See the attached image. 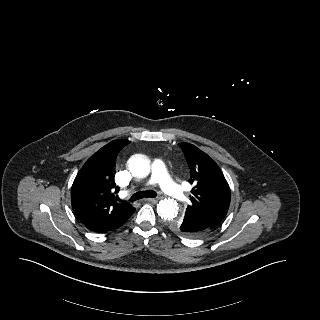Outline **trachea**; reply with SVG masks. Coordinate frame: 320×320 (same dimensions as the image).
I'll list each match as a JSON object with an SVG mask.
<instances>
[{
  "mask_svg": "<svg viewBox=\"0 0 320 320\" xmlns=\"http://www.w3.org/2000/svg\"><path fill=\"white\" fill-rule=\"evenodd\" d=\"M156 196H157V194L155 191L146 190V191H141V192H137V193L133 194L129 200L130 201H137V200H140L143 198H154Z\"/></svg>",
  "mask_w": 320,
  "mask_h": 320,
  "instance_id": "obj_1",
  "label": "trachea"
}]
</instances>
